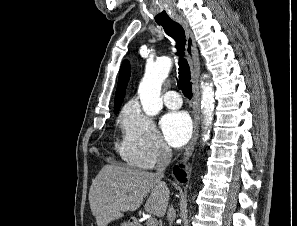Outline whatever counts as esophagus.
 <instances>
[{
	"label": "esophagus",
	"mask_w": 297,
	"mask_h": 226,
	"mask_svg": "<svg viewBox=\"0 0 297 226\" xmlns=\"http://www.w3.org/2000/svg\"><path fill=\"white\" fill-rule=\"evenodd\" d=\"M176 22H178L184 29L186 35V55L188 57L190 69H191V78L193 86V109H194V129L193 135L188 143L182 161L186 163L192 155L194 146L196 144L198 133H199V124H200V91H199V76H200V62L198 51L196 47V42L194 35L188 25V23L181 17H177Z\"/></svg>",
	"instance_id": "1"
}]
</instances>
